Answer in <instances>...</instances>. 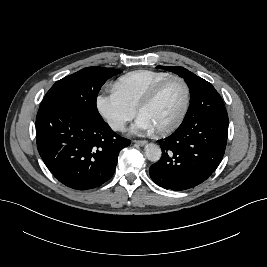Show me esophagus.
Wrapping results in <instances>:
<instances>
[{"label":"esophagus","mask_w":267,"mask_h":267,"mask_svg":"<svg viewBox=\"0 0 267 267\" xmlns=\"http://www.w3.org/2000/svg\"><path fill=\"white\" fill-rule=\"evenodd\" d=\"M134 143H135V145H138V146H144L147 143V141H145V140H135Z\"/></svg>","instance_id":"34e87169"}]
</instances>
